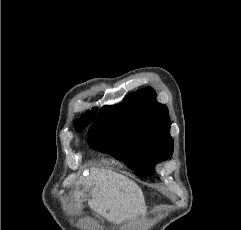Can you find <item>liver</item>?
<instances>
[{
	"mask_svg": "<svg viewBox=\"0 0 241 230\" xmlns=\"http://www.w3.org/2000/svg\"><path fill=\"white\" fill-rule=\"evenodd\" d=\"M91 199L88 205L109 221L118 222L132 214L143 213V194L129 178L107 169L95 168L90 174Z\"/></svg>",
	"mask_w": 241,
	"mask_h": 230,
	"instance_id": "liver-1",
	"label": "liver"
}]
</instances>
